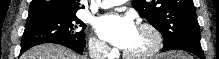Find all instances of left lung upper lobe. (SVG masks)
Segmentation results:
<instances>
[{
	"instance_id": "5c2ea615",
	"label": "left lung upper lobe",
	"mask_w": 219,
	"mask_h": 59,
	"mask_svg": "<svg viewBox=\"0 0 219 59\" xmlns=\"http://www.w3.org/2000/svg\"><path fill=\"white\" fill-rule=\"evenodd\" d=\"M133 7L163 36V47L186 36H200L193 0H134Z\"/></svg>"
}]
</instances>
